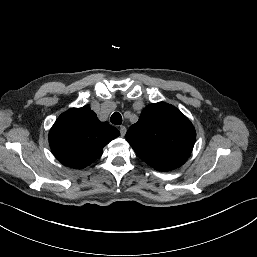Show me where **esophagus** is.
Here are the masks:
<instances>
[{
	"instance_id": "esophagus-1",
	"label": "esophagus",
	"mask_w": 257,
	"mask_h": 257,
	"mask_svg": "<svg viewBox=\"0 0 257 257\" xmlns=\"http://www.w3.org/2000/svg\"><path fill=\"white\" fill-rule=\"evenodd\" d=\"M120 135L122 136V137H124L125 136V134H126V131H127V129H126V127L125 126H120Z\"/></svg>"
}]
</instances>
